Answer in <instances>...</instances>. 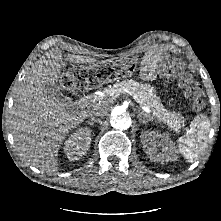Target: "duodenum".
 I'll use <instances>...</instances> for the list:
<instances>
[{
    "label": "duodenum",
    "mask_w": 221,
    "mask_h": 221,
    "mask_svg": "<svg viewBox=\"0 0 221 221\" xmlns=\"http://www.w3.org/2000/svg\"><path fill=\"white\" fill-rule=\"evenodd\" d=\"M83 102V98H79L77 101H76V105H81Z\"/></svg>",
    "instance_id": "1"
}]
</instances>
